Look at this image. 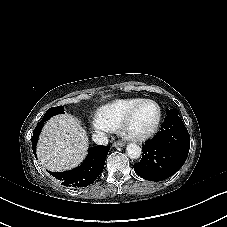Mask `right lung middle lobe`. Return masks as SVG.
Instances as JSON below:
<instances>
[{
  "label": "right lung middle lobe",
  "mask_w": 227,
  "mask_h": 227,
  "mask_svg": "<svg viewBox=\"0 0 227 227\" xmlns=\"http://www.w3.org/2000/svg\"><path fill=\"white\" fill-rule=\"evenodd\" d=\"M60 113H64V107L63 106L52 107V108L47 110V112L45 113V115H44V117L41 121L45 122L46 120H48L53 115L60 114Z\"/></svg>",
  "instance_id": "1"
}]
</instances>
